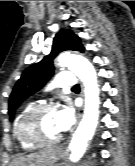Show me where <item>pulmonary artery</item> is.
Here are the masks:
<instances>
[{
	"mask_svg": "<svg viewBox=\"0 0 135 166\" xmlns=\"http://www.w3.org/2000/svg\"><path fill=\"white\" fill-rule=\"evenodd\" d=\"M53 83L57 87H66V88H72L76 84V78L74 74L71 71H60L56 75Z\"/></svg>",
	"mask_w": 135,
	"mask_h": 166,
	"instance_id": "obj_1",
	"label": "pulmonary artery"
}]
</instances>
